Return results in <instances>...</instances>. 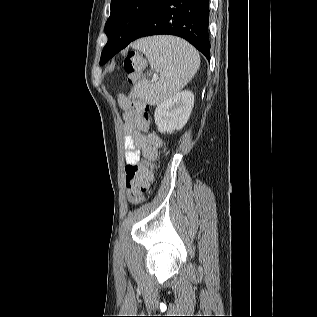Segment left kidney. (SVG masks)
<instances>
[{"instance_id": "obj_1", "label": "left kidney", "mask_w": 317, "mask_h": 317, "mask_svg": "<svg viewBox=\"0 0 317 317\" xmlns=\"http://www.w3.org/2000/svg\"><path fill=\"white\" fill-rule=\"evenodd\" d=\"M194 105V95L185 90L170 96L155 109L154 119L160 133H173L187 123Z\"/></svg>"}]
</instances>
